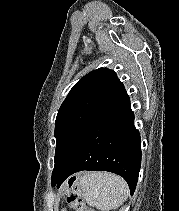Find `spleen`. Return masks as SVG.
<instances>
[{"label":"spleen","instance_id":"3e777b00","mask_svg":"<svg viewBox=\"0 0 179 211\" xmlns=\"http://www.w3.org/2000/svg\"><path fill=\"white\" fill-rule=\"evenodd\" d=\"M80 186L88 205L101 211L117 209L129 194L126 181L108 172H87L80 178Z\"/></svg>","mask_w":179,"mask_h":211}]
</instances>
